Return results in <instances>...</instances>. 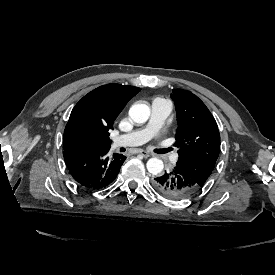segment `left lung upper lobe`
<instances>
[{"label": "left lung upper lobe", "mask_w": 275, "mask_h": 275, "mask_svg": "<svg viewBox=\"0 0 275 275\" xmlns=\"http://www.w3.org/2000/svg\"><path fill=\"white\" fill-rule=\"evenodd\" d=\"M178 130L179 166L199 186H203L215 167L220 152L217 123L205 104L193 93L173 89Z\"/></svg>", "instance_id": "5c2ea615"}]
</instances>
